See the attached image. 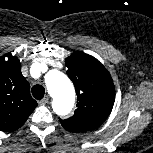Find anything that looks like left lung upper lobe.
Here are the masks:
<instances>
[{
	"label": "left lung upper lobe",
	"instance_id": "left-lung-upper-lobe-1",
	"mask_svg": "<svg viewBox=\"0 0 153 153\" xmlns=\"http://www.w3.org/2000/svg\"><path fill=\"white\" fill-rule=\"evenodd\" d=\"M67 75L77 93V109L62 126L70 132L82 133L99 127L109 116L115 100V89L107 69L94 57L76 51L65 60Z\"/></svg>",
	"mask_w": 153,
	"mask_h": 153
}]
</instances>
